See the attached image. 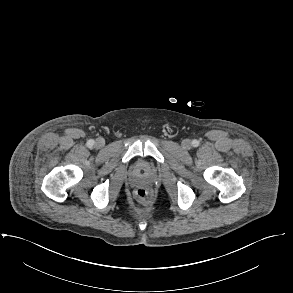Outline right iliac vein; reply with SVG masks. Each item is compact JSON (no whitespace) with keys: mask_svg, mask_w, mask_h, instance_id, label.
Masks as SVG:
<instances>
[{"mask_svg":"<svg viewBox=\"0 0 293 293\" xmlns=\"http://www.w3.org/2000/svg\"><path fill=\"white\" fill-rule=\"evenodd\" d=\"M105 145V141L102 138H98L95 142L97 148H102Z\"/></svg>","mask_w":293,"mask_h":293,"instance_id":"1","label":"right iliac vein"}]
</instances>
